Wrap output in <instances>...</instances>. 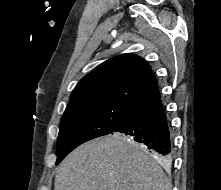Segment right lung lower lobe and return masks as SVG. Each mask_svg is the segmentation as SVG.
<instances>
[{"mask_svg":"<svg viewBox=\"0 0 221 190\" xmlns=\"http://www.w3.org/2000/svg\"><path fill=\"white\" fill-rule=\"evenodd\" d=\"M132 136L163 160H171V125L160 93L135 107L128 117L112 132Z\"/></svg>","mask_w":221,"mask_h":190,"instance_id":"right-lung-lower-lobe-1","label":"right lung lower lobe"}]
</instances>
